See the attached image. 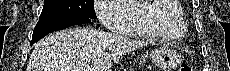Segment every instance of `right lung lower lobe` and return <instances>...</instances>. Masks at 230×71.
Listing matches in <instances>:
<instances>
[{"mask_svg": "<svg viewBox=\"0 0 230 71\" xmlns=\"http://www.w3.org/2000/svg\"><path fill=\"white\" fill-rule=\"evenodd\" d=\"M88 22H90L89 17H71L49 21H39L34 28L31 45L43 38L44 36H46L50 32Z\"/></svg>", "mask_w": 230, "mask_h": 71, "instance_id": "1", "label": "right lung lower lobe"}]
</instances>
